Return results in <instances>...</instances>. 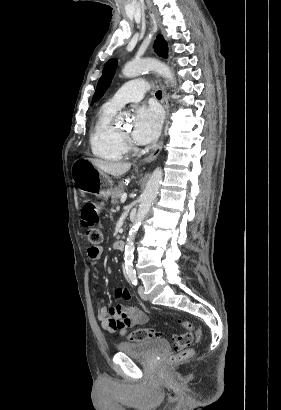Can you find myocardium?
Returning <instances> with one entry per match:
<instances>
[{"mask_svg": "<svg viewBox=\"0 0 281 410\" xmlns=\"http://www.w3.org/2000/svg\"><path fill=\"white\" fill-rule=\"evenodd\" d=\"M121 135H122L123 139H126V138H127V135H126V134L121 133Z\"/></svg>", "mask_w": 281, "mask_h": 410, "instance_id": "obj_1", "label": "myocardium"}]
</instances>
